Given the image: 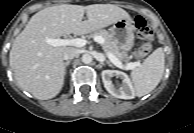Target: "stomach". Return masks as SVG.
<instances>
[{
	"label": "stomach",
	"instance_id": "obj_1",
	"mask_svg": "<svg viewBox=\"0 0 194 133\" xmlns=\"http://www.w3.org/2000/svg\"><path fill=\"white\" fill-rule=\"evenodd\" d=\"M109 30L120 51L127 53L132 49L134 45V27L131 18L118 20L113 23Z\"/></svg>",
	"mask_w": 194,
	"mask_h": 133
}]
</instances>
